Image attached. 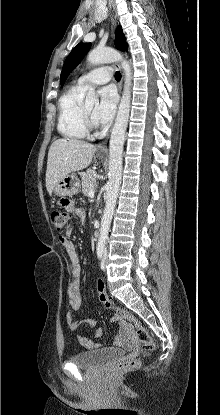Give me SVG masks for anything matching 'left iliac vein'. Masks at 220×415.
I'll use <instances>...</instances> for the list:
<instances>
[{
  "label": "left iliac vein",
  "instance_id": "obj_1",
  "mask_svg": "<svg viewBox=\"0 0 220 415\" xmlns=\"http://www.w3.org/2000/svg\"><path fill=\"white\" fill-rule=\"evenodd\" d=\"M107 255H108L107 250H105L103 254V259L101 262V269L103 270L105 269V266H106Z\"/></svg>",
  "mask_w": 220,
  "mask_h": 415
}]
</instances>
